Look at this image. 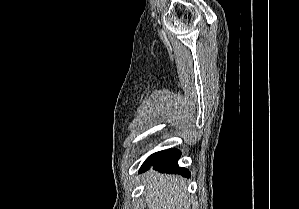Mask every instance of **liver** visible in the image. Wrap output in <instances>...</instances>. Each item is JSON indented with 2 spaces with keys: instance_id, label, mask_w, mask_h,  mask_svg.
<instances>
[{
  "instance_id": "1",
  "label": "liver",
  "mask_w": 299,
  "mask_h": 209,
  "mask_svg": "<svg viewBox=\"0 0 299 209\" xmlns=\"http://www.w3.org/2000/svg\"><path fill=\"white\" fill-rule=\"evenodd\" d=\"M146 202L149 209H189L183 178L160 173H149Z\"/></svg>"
}]
</instances>
